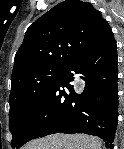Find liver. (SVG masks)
Wrapping results in <instances>:
<instances>
[{"instance_id": "obj_1", "label": "liver", "mask_w": 124, "mask_h": 149, "mask_svg": "<svg viewBox=\"0 0 124 149\" xmlns=\"http://www.w3.org/2000/svg\"><path fill=\"white\" fill-rule=\"evenodd\" d=\"M24 149H101V143L85 135H52L31 142Z\"/></svg>"}]
</instances>
